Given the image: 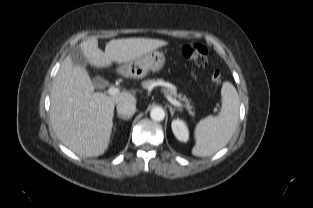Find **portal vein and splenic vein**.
<instances>
[{
	"label": "portal vein and splenic vein",
	"mask_w": 313,
	"mask_h": 208,
	"mask_svg": "<svg viewBox=\"0 0 313 208\" xmlns=\"http://www.w3.org/2000/svg\"><path fill=\"white\" fill-rule=\"evenodd\" d=\"M107 93L111 96H115V95H118L120 93V89L117 88V87H110L108 90H107ZM167 100L174 106H177V107H182L183 104L180 103L179 101H177L176 99L172 98L171 96H166ZM216 110V109H215Z\"/></svg>",
	"instance_id": "1"
}]
</instances>
